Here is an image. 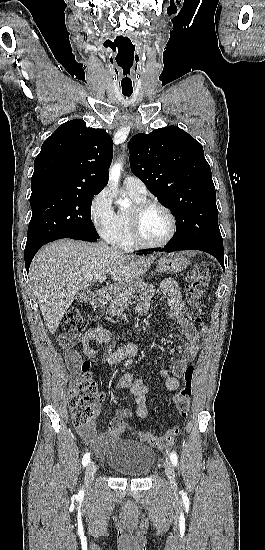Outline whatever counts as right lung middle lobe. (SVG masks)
<instances>
[{
	"label": "right lung middle lobe",
	"mask_w": 265,
	"mask_h": 550,
	"mask_svg": "<svg viewBox=\"0 0 265 550\" xmlns=\"http://www.w3.org/2000/svg\"><path fill=\"white\" fill-rule=\"evenodd\" d=\"M96 194H67L39 191L31 194L32 218L25 252H30L63 234L99 238L91 221V204Z\"/></svg>",
	"instance_id": "dd1d6c3e"
}]
</instances>
